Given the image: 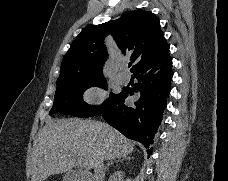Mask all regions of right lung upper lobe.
I'll use <instances>...</instances> for the list:
<instances>
[{
	"instance_id": "right-lung-upper-lobe-1",
	"label": "right lung upper lobe",
	"mask_w": 228,
	"mask_h": 181,
	"mask_svg": "<svg viewBox=\"0 0 228 181\" xmlns=\"http://www.w3.org/2000/svg\"><path fill=\"white\" fill-rule=\"evenodd\" d=\"M109 33L123 54H131L130 61L135 63L132 70L169 46L159 19L152 12L129 11L117 20L82 30L63 58L57 85L103 77L102 69L108 58L104 38Z\"/></svg>"
}]
</instances>
